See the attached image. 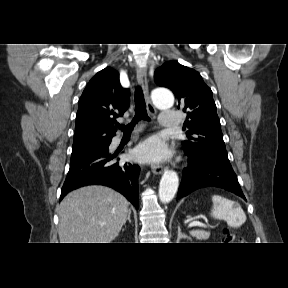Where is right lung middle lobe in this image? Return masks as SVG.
<instances>
[{
	"mask_svg": "<svg viewBox=\"0 0 288 288\" xmlns=\"http://www.w3.org/2000/svg\"><path fill=\"white\" fill-rule=\"evenodd\" d=\"M106 146H96V147H88V148H81V149H76V150H72V154H71V160H77L85 155H88L94 151L100 150L102 148H104Z\"/></svg>",
	"mask_w": 288,
	"mask_h": 288,
	"instance_id": "right-lung-middle-lobe-1",
	"label": "right lung middle lobe"
}]
</instances>
